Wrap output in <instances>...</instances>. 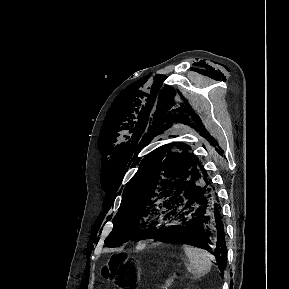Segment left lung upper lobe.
Wrapping results in <instances>:
<instances>
[{
	"instance_id": "obj_1",
	"label": "left lung upper lobe",
	"mask_w": 289,
	"mask_h": 289,
	"mask_svg": "<svg viewBox=\"0 0 289 289\" xmlns=\"http://www.w3.org/2000/svg\"><path fill=\"white\" fill-rule=\"evenodd\" d=\"M187 149L186 145L168 144L143 159L124 190L113 230L105 240L107 247L142 239L154 231L163 224L170 202L186 185L208 178L199 160Z\"/></svg>"
}]
</instances>
